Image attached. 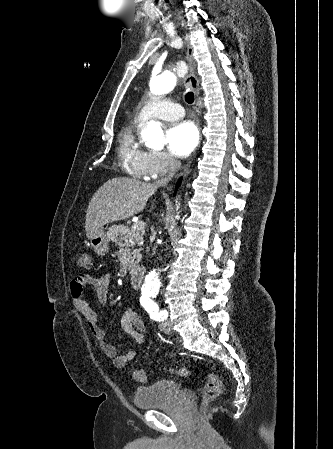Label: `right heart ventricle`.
<instances>
[{
	"instance_id": "obj_1",
	"label": "right heart ventricle",
	"mask_w": 333,
	"mask_h": 449,
	"mask_svg": "<svg viewBox=\"0 0 333 449\" xmlns=\"http://www.w3.org/2000/svg\"><path fill=\"white\" fill-rule=\"evenodd\" d=\"M138 125L126 127L119 135V156L125 161L133 175L138 178L146 177L144 156L138 142Z\"/></svg>"
}]
</instances>
